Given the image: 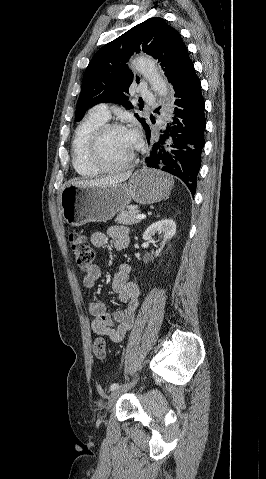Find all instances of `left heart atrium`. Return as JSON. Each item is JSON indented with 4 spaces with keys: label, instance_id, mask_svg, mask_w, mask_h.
Wrapping results in <instances>:
<instances>
[{
    "label": "left heart atrium",
    "instance_id": "39dd6f15",
    "mask_svg": "<svg viewBox=\"0 0 266 479\" xmlns=\"http://www.w3.org/2000/svg\"><path fill=\"white\" fill-rule=\"evenodd\" d=\"M132 139L136 142L137 141V133L136 131L132 130V131H129Z\"/></svg>",
    "mask_w": 266,
    "mask_h": 479
}]
</instances>
